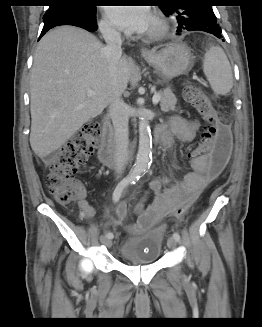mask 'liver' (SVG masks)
I'll return each mask as SVG.
<instances>
[{
  "instance_id": "6515ba94",
  "label": "liver",
  "mask_w": 262,
  "mask_h": 327,
  "mask_svg": "<svg viewBox=\"0 0 262 327\" xmlns=\"http://www.w3.org/2000/svg\"><path fill=\"white\" fill-rule=\"evenodd\" d=\"M129 78L126 57L110 76L105 47L91 33L71 26L48 32L35 52L30 78L34 153L44 159L59 149L110 104L113 82L121 95Z\"/></svg>"
}]
</instances>
